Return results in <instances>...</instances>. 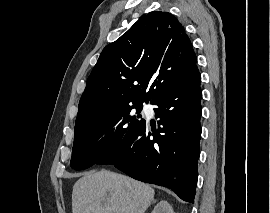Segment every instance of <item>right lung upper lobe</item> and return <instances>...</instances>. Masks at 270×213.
Segmentation results:
<instances>
[{
  "label": "right lung upper lobe",
  "mask_w": 270,
  "mask_h": 213,
  "mask_svg": "<svg viewBox=\"0 0 270 213\" xmlns=\"http://www.w3.org/2000/svg\"><path fill=\"white\" fill-rule=\"evenodd\" d=\"M196 60L183 26L172 14H147L101 52L80 99L76 123L120 106L154 101L184 79Z\"/></svg>",
  "instance_id": "right-lung-upper-lobe-1"
}]
</instances>
